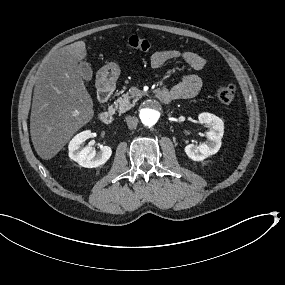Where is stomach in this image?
Segmentation results:
<instances>
[{"label": "stomach", "mask_w": 285, "mask_h": 285, "mask_svg": "<svg viewBox=\"0 0 285 285\" xmlns=\"http://www.w3.org/2000/svg\"><path fill=\"white\" fill-rule=\"evenodd\" d=\"M119 68L117 65H108L105 71H100L97 75V80L103 85L114 84L119 76Z\"/></svg>", "instance_id": "0dacf381"}]
</instances>
